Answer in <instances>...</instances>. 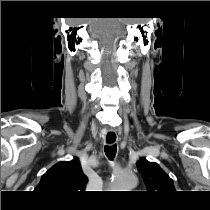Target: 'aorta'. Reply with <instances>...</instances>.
Segmentation results:
<instances>
[{"label":"aorta","mask_w":210,"mask_h":210,"mask_svg":"<svg viewBox=\"0 0 210 210\" xmlns=\"http://www.w3.org/2000/svg\"><path fill=\"white\" fill-rule=\"evenodd\" d=\"M137 185V177L134 173L117 170L112 176V188L119 191H130Z\"/></svg>","instance_id":"obj_1"}]
</instances>
